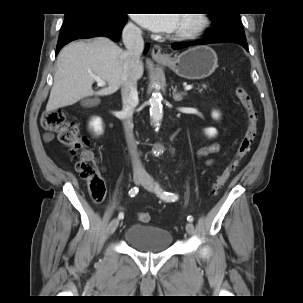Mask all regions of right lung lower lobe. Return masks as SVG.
Instances as JSON below:
<instances>
[{"mask_svg": "<svg viewBox=\"0 0 303 303\" xmlns=\"http://www.w3.org/2000/svg\"><path fill=\"white\" fill-rule=\"evenodd\" d=\"M126 20L125 14L112 15L95 11L66 14L57 43L56 55L62 47L76 39L106 36L117 41Z\"/></svg>", "mask_w": 303, "mask_h": 303, "instance_id": "right-lung-lower-lobe-1", "label": "right lung lower lobe"}]
</instances>
